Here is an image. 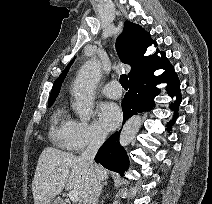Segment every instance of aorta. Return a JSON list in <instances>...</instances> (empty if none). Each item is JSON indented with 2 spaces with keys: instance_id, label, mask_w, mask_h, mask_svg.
Returning a JSON list of instances; mask_svg holds the SVG:
<instances>
[{
  "instance_id": "obj_1",
  "label": "aorta",
  "mask_w": 212,
  "mask_h": 204,
  "mask_svg": "<svg viewBox=\"0 0 212 204\" xmlns=\"http://www.w3.org/2000/svg\"><path fill=\"white\" fill-rule=\"evenodd\" d=\"M100 77V62L96 58H92L81 67L72 87V94L75 98L73 109L83 122L89 121L93 115L94 89ZM140 125V116L131 117L122 129L120 144L123 146L130 144L134 140Z\"/></svg>"
}]
</instances>
